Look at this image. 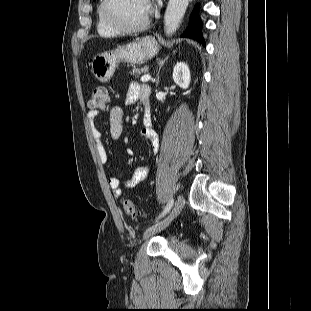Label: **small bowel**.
<instances>
[{
    "mask_svg": "<svg viewBox=\"0 0 311 311\" xmlns=\"http://www.w3.org/2000/svg\"><path fill=\"white\" fill-rule=\"evenodd\" d=\"M150 94L151 90L147 85L139 84L133 82L130 84L125 105L129 106L134 104L136 101H140L144 108V126L141 129V137L147 139L151 145L152 150L157 153L159 151V141L157 133L152 125L151 115H150ZM100 112L98 110H90L86 115V120L90 129L91 136L95 142L96 150L99 159L102 163L107 161V153L102 143V133L97 127L96 118ZM123 108L119 105L113 106L109 111V133L113 140H118L121 138L123 133ZM148 167L140 166L135 168L129 174H122L119 176H110L107 179L109 188L113 191L115 197L121 196L120 186L122 179L124 178V185L127 188H134L140 184L148 175Z\"/></svg>",
    "mask_w": 311,
    "mask_h": 311,
    "instance_id": "small-bowel-1",
    "label": "small bowel"
}]
</instances>
